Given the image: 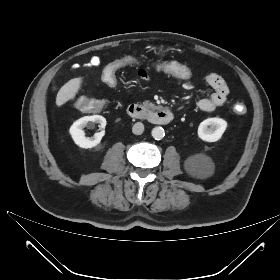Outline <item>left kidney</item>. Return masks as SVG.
Here are the masks:
<instances>
[{"mask_svg":"<svg viewBox=\"0 0 280 280\" xmlns=\"http://www.w3.org/2000/svg\"><path fill=\"white\" fill-rule=\"evenodd\" d=\"M210 126V127H209ZM227 128V122L218 117L207 118L198 127V136L206 142L218 141Z\"/></svg>","mask_w":280,"mask_h":280,"instance_id":"1","label":"left kidney"}]
</instances>
